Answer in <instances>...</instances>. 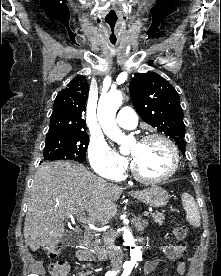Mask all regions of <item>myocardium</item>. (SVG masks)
<instances>
[{
    "mask_svg": "<svg viewBox=\"0 0 221 276\" xmlns=\"http://www.w3.org/2000/svg\"><path fill=\"white\" fill-rule=\"evenodd\" d=\"M155 139L163 141L170 149V152L172 155V160H173L172 166H171V169L166 174H164L162 176L148 177L140 172V170L137 168L135 162L132 160V162H131L132 174L134 175V177L136 179H138L139 181L144 182V183H160V182L166 181L169 178H171L172 176H174L179 168V164H180L179 151H178V148L175 145V143L169 137H167L166 135L160 134V133H151V134H147V135L143 136L140 139V142L143 143V142H147V141L155 140Z\"/></svg>",
    "mask_w": 221,
    "mask_h": 276,
    "instance_id": "f54148a6",
    "label": "myocardium"
}]
</instances>
